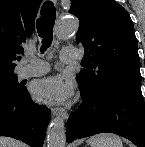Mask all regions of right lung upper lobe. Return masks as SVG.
<instances>
[{
    "label": "right lung upper lobe",
    "mask_w": 145,
    "mask_h": 147,
    "mask_svg": "<svg viewBox=\"0 0 145 147\" xmlns=\"http://www.w3.org/2000/svg\"><path fill=\"white\" fill-rule=\"evenodd\" d=\"M41 0H0V74H12L31 36Z\"/></svg>",
    "instance_id": "cb5924a9"
}]
</instances>
